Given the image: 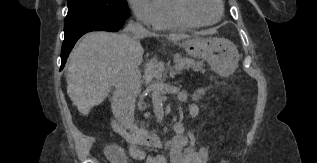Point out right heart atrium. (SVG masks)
<instances>
[{"label": "right heart atrium", "instance_id": "obj_1", "mask_svg": "<svg viewBox=\"0 0 317 163\" xmlns=\"http://www.w3.org/2000/svg\"><path fill=\"white\" fill-rule=\"evenodd\" d=\"M134 16L146 26H154L158 16L159 8L157 0H127Z\"/></svg>", "mask_w": 317, "mask_h": 163}]
</instances>
